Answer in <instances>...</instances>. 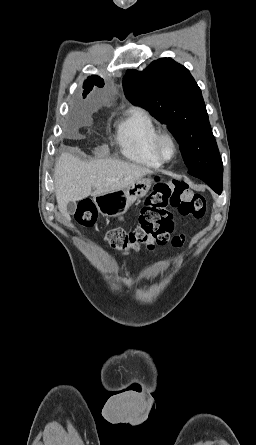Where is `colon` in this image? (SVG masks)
Wrapping results in <instances>:
<instances>
[{"instance_id": "1", "label": "colon", "mask_w": 256, "mask_h": 445, "mask_svg": "<svg viewBox=\"0 0 256 445\" xmlns=\"http://www.w3.org/2000/svg\"><path fill=\"white\" fill-rule=\"evenodd\" d=\"M201 219L206 210L203 195L194 193L179 180H155L153 189L147 194L140 210L138 224L129 230L113 228L107 231L108 243L123 252L136 251L141 246L152 250L170 239L173 229V212ZM76 219L83 227L96 224L97 214L90 200L80 202Z\"/></svg>"}]
</instances>
